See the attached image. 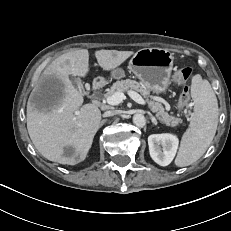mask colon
<instances>
[{"mask_svg":"<svg viewBox=\"0 0 231 231\" xmlns=\"http://www.w3.org/2000/svg\"><path fill=\"white\" fill-rule=\"evenodd\" d=\"M191 73L192 70L190 68H183L177 71L174 75L175 81L178 84L184 85L178 101V105L180 108L186 107L190 101L189 87L185 85V83L190 78Z\"/></svg>","mask_w":231,"mask_h":231,"instance_id":"5ec220e1","label":"colon"}]
</instances>
